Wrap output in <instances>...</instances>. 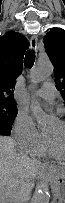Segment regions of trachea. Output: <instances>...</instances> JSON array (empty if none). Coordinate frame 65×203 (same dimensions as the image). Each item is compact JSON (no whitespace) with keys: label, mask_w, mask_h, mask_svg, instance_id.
Returning <instances> with one entry per match:
<instances>
[{"label":"trachea","mask_w":65,"mask_h":203,"mask_svg":"<svg viewBox=\"0 0 65 203\" xmlns=\"http://www.w3.org/2000/svg\"><path fill=\"white\" fill-rule=\"evenodd\" d=\"M35 62V51L28 50L25 54V66L31 68Z\"/></svg>","instance_id":"trachea-1"}]
</instances>
